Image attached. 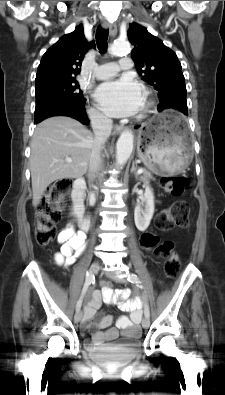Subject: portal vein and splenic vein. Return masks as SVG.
I'll return each instance as SVG.
<instances>
[{
  "instance_id": "18ae733b",
  "label": "portal vein and splenic vein",
  "mask_w": 225,
  "mask_h": 395,
  "mask_svg": "<svg viewBox=\"0 0 225 395\" xmlns=\"http://www.w3.org/2000/svg\"><path fill=\"white\" fill-rule=\"evenodd\" d=\"M65 161H66V162H72V159H71V158H66V159H65ZM143 171H144V169H143V168H139V170H138V174H141V173H143Z\"/></svg>"
}]
</instances>
